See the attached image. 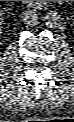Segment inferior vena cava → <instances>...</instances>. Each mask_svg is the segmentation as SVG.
Masks as SVG:
<instances>
[{
  "label": "inferior vena cava",
  "instance_id": "602c4592",
  "mask_svg": "<svg viewBox=\"0 0 74 122\" xmlns=\"http://www.w3.org/2000/svg\"><path fill=\"white\" fill-rule=\"evenodd\" d=\"M21 18L25 23L30 24L32 21V23L35 22L34 20L37 18V15L32 10H26L22 13Z\"/></svg>",
  "mask_w": 74,
  "mask_h": 122
}]
</instances>
